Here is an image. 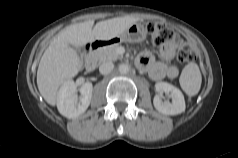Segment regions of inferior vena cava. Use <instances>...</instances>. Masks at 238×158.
<instances>
[{
	"label": "inferior vena cava",
	"mask_w": 238,
	"mask_h": 158,
	"mask_svg": "<svg viewBox=\"0 0 238 158\" xmlns=\"http://www.w3.org/2000/svg\"><path fill=\"white\" fill-rule=\"evenodd\" d=\"M114 68V64L112 62H104L100 65L99 71L101 74L106 75L109 74Z\"/></svg>",
	"instance_id": "1"
}]
</instances>
